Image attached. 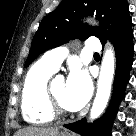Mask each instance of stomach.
Returning a JSON list of instances; mask_svg holds the SVG:
<instances>
[{
  "instance_id": "obj_1",
  "label": "stomach",
  "mask_w": 136,
  "mask_h": 136,
  "mask_svg": "<svg viewBox=\"0 0 136 136\" xmlns=\"http://www.w3.org/2000/svg\"><path fill=\"white\" fill-rule=\"evenodd\" d=\"M56 136H71V135H69V134H65V133H58Z\"/></svg>"
}]
</instances>
